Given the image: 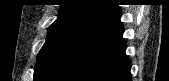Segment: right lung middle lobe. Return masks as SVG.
<instances>
[{
  "mask_svg": "<svg viewBox=\"0 0 169 81\" xmlns=\"http://www.w3.org/2000/svg\"><path fill=\"white\" fill-rule=\"evenodd\" d=\"M85 23V20L79 18L57 19L48 29L47 41L38 54L35 71L47 61L72 33Z\"/></svg>",
  "mask_w": 169,
  "mask_h": 81,
  "instance_id": "1",
  "label": "right lung middle lobe"
}]
</instances>
